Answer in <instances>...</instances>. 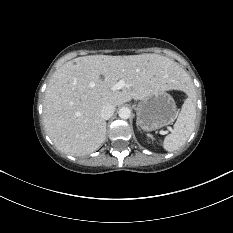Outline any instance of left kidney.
<instances>
[{
    "label": "left kidney",
    "mask_w": 233,
    "mask_h": 233,
    "mask_svg": "<svg viewBox=\"0 0 233 233\" xmlns=\"http://www.w3.org/2000/svg\"><path fill=\"white\" fill-rule=\"evenodd\" d=\"M148 138H152V136L148 134Z\"/></svg>",
    "instance_id": "left-kidney-1"
}]
</instances>
